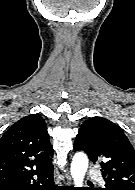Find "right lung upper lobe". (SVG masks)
<instances>
[{
  "mask_svg": "<svg viewBox=\"0 0 135 190\" xmlns=\"http://www.w3.org/2000/svg\"><path fill=\"white\" fill-rule=\"evenodd\" d=\"M53 149L45 121L38 114L21 118L0 139V176L44 171L52 166Z\"/></svg>",
  "mask_w": 135,
  "mask_h": 190,
  "instance_id": "right-lung-upper-lobe-1",
  "label": "right lung upper lobe"
}]
</instances>
